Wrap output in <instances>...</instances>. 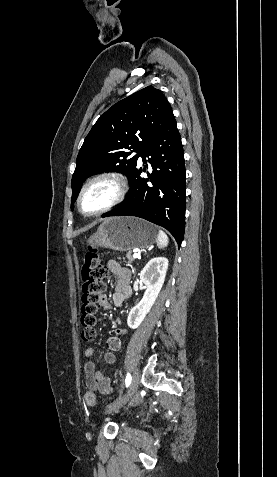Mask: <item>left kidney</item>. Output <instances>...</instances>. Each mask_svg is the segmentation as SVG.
Listing matches in <instances>:
<instances>
[{
	"label": "left kidney",
	"mask_w": 277,
	"mask_h": 477,
	"mask_svg": "<svg viewBox=\"0 0 277 477\" xmlns=\"http://www.w3.org/2000/svg\"><path fill=\"white\" fill-rule=\"evenodd\" d=\"M168 259L156 257L151 259L140 273V280L146 285L141 301L131 309L127 324L130 328H138L154 305L165 281Z\"/></svg>",
	"instance_id": "left-kidney-1"
}]
</instances>
